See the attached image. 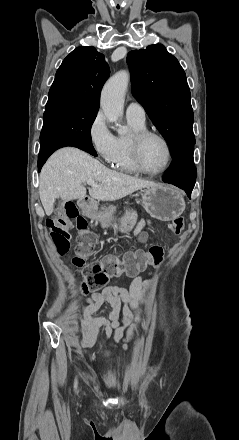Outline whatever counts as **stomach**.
Returning <instances> with one entry per match:
<instances>
[{"mask_svg": "<svg viewBox=\"0 0 239 440\" xmlns=\"http://www.w3.org/2000/svg\"><path fill=\"white\" fill-rule=\"evenodd\" d=\"M143 204L148 214L156 220H161V222H171V220L179 218L186 208L184 198L179 190L168 188V186L147 188L144 192ZM78 206L81 208L83 216L91 218V220H98V222H101L102 228H109V226H112V222H116L113 216L116 210L115 206H105L102 212H99L96 200H88V202L78 200ZM118 222L119 232L128 234L137 222V214L129 210Z\"/></svg>", "mask_w": 239, "mask_h": 440, "instance_id": "obj_1", "label": "stomach"}]
</instances>
